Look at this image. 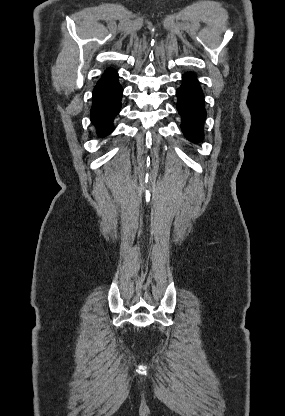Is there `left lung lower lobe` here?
<instances>
[{"label": "left lung lower lobe", "instance_id": "left-lung-lower-lobe-1", "mask_svg": "<svg viewBox=\"0 0 285 416\" xmlns=\"http://www.w3.org/2000/svg\"><path fill=\"white\" fill-rule=\"evenodd\" d=\"M177 110L182 117L181 128L186 138L194 143L202 140L206 117L204 95L195 75H183V84L177 89Z\"/></svg>", "mask_w": 285, "mask_h": 416}]
</instances>
